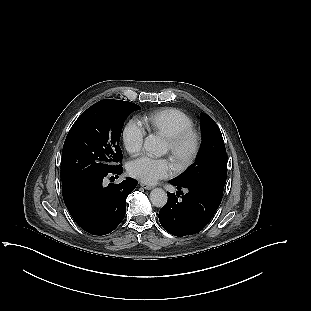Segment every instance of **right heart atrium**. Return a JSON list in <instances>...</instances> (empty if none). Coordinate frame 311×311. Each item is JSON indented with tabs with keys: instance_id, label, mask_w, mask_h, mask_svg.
Instances as JSON below:
<instances>
[{
	"instance_id": "obj_1",
	"label": "right heart atrium",
	"mask_w": 311,
	"mask_h": 311,
	"mask_svg": "<svg viewBox=\"0 0 311 311\" xmlns=\"http://www.w3.org/2000/svg\"><path fill=\"white\" fill-rule=\"evenodd\" d=\"M145 133V129L135 119L127 122L123 129V140L130 154L135 155L140 152L144 143Z\"/></svg>"
}]
</instances>
